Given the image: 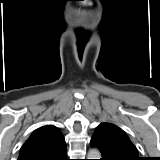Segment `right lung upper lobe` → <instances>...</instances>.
Segmentation results:
<instances>
[{
	"mask_svg": "<svg viewBox=\"0 0 160 160\" xmlns=\"http://www.w3.org/2000/svg\"><path fill=\"white\" fill-rule=\"evenodd\" d=\"M67 151L61 131L52 125L36 129L21 147L18 160H57Z\"/></svg>",
	"mask_w": 160,
	"mask_h": 160,
	"instance_id": "1",
	"label": "right lung upper lobe"
}]
</instances>
